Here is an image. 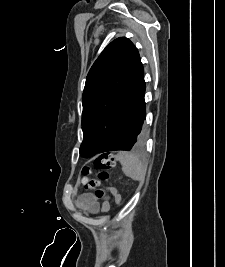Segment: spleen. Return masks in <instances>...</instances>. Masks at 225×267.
Returning a JSON list of instances; mask_svg holds the SVG:
<instances>
[{"label":"spleen","mask_w":225,"mask_h":267,"mask_svg":"<svg viewBox=\"0 0 225 267\" xmlns=\"http://www.w3.org/2000/svg\"><path fill=\"white\" fill-rule=\"evenodd\" d=\"M116 159L122 165L123 173L135 181H143L146 175V168L137 156L130 152H118Z\"/></svg>","instance_id":"1"}]
</instances>
